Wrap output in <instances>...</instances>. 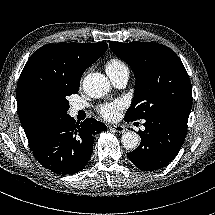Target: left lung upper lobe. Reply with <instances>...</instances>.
Instances as JSON below:
<instances>
[{"label": "left lung upper lobe", "mask_w": 215, "mask_h": 215, "mask_svg": "<svg viewBox=\"0 0 215 215\" xmlns=\"http://www.w3.org/2000/svg\"><path fill=\"white\" fill-rule=\"evenodd\" d=\"M136 78L134 98L125 118L129 121L174 112H190L192 89L186 69L176 53L162 44L109 42Z\"/></svg>", "instance_id": "left-lung-upper-lobe-1"}]
</instances>
